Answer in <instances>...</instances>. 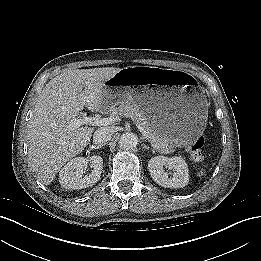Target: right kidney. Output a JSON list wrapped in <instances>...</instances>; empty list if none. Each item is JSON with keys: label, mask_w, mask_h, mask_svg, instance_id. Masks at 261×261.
<instances>
[{"label": "right kidney", "mask_w": 261, "mask_h": 261, "mask_svg": "<svg viewBox=\"0 0 261 261\" xmlns=\"http://www.w3.org/2000/svg\"><path fill=\"white\" fill-rule=\"evenodd\" d=\"M89 161L92 172L84 176ZM103 170V159L94 155L86 160L84 157H76L70 160L59 173L60 185L66 189H83L93 186L101 176Z\"/></svg>", "instance_id": "ca27d5eb"}]
</instances>
